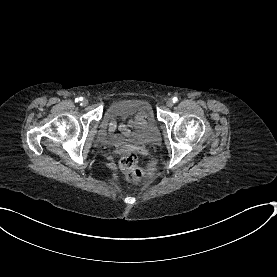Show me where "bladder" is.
Instances as JSON below:
<instances>
[{
    "label": "bladder",
    "mask_w": 277,
    "mask_h": 277,
    "mask_svg": "<svg viewBox=\"0 0 277 277\" xmlns=\"http://www.w3.org/2000/svg\"><path fill=\"white\" fill-rule=\"evenodd\" d=\"M143 119L141 128L134 129L126 137L139 143H149L155 138L159 126L153 117L152 106L149 100L144 98L123 97L112 101L103 115L102 121L108 126L113 123H124L133 118Z\"/></svg>",
    "instance_id": "obj_1"
}]
</instances>
